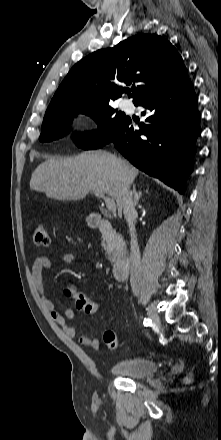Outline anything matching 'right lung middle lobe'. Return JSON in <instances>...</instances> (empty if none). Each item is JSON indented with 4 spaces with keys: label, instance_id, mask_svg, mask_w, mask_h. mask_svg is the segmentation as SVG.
I'll use <instances>...</instances> for the list:
<instances>
[{
    "label": "right lung middle lobe",
    "instance_id": "right-lung-middle-lobe-1",
    "mask_svg": "<svg viewBox=\"0 0 221 440\" xmlns=\"http://www.w3.org/2000/svg\"><path fill=\"white\" fill-rule=\"evenodd\" d=\"M77 113L90 116L99 127L98 130L75 136L77 146L85 150L104 146L127 120L118 112L116 114V110L110 104L97 107L84 104L66 106L46 111L39 140L48 142L63 137L69 131L70 123Z\"/></svg>",
    "mask_w": 221,
    "mask_h": 440
}]
</instances>
